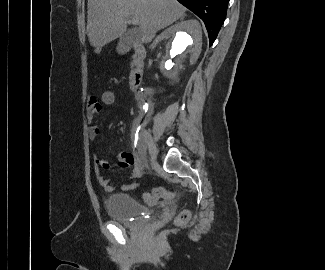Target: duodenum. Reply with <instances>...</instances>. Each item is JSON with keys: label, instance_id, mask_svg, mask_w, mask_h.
I'll use <instances>...</instances> for the list:
<instances>
[{"label": "duodenum", "instance_id": "obj_1", "mask_svg": "<svg viewBox=\"0 0 325 270\" xmlns=\"http://www.w3.org/2000/svg\"><path fill=\"white\" fill-rule=\"evenodd\" d=\"M146 56V49L143 45L137 44L134 47L133 55L131 59V69H130V86L136 93L140 92L143 77H144V59ZM142 101V98H138Z\"/></svg>", "mask_w": 325, "mask_h": 270}]
</instances>
